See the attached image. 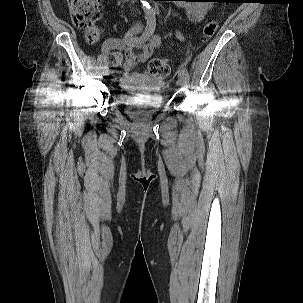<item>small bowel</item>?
<instances>
[{
  "mask_svg": "<svg viewBox=\"0 0 303 303\" xmlns=\"http://www.w3.org/2000/svg\"><path fill=\"white\" fill-rule=\"evenodd\" d=\"M183 1H187L182 6L191 21L200 22L205 18L208 6L202 3V0ZM140 28L138 25L135 26L123 38H108L103 43L101 50L105 56L112 55L116 65L123 68L124 78L122 81L125 85H139L146 89H159L162 82L148 71H138L137 66L151 58L154 49L160 44V37L152 33L148 42H142L137 37ZM133 49L138 51L134 52Z\"/></svg>",
  "mask_w": 303,
  "mask_h": 303,
  "instance_id": "small-bowel-1",
  "label": "small bowel"
}]
</instances>
